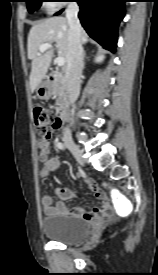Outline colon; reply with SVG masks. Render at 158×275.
Instances as JSON below:
<instances>
[{
    "instance_id": "obj_1",
    "label": "colon",
    "mask_w": 158,
    "mask_h": 275,
    "mask_svg": "<svg viewBox=\"0 0 158 275\" xmlns=\"http://www.w3.org/2000/svg\"><path fill=\"white\" fill-rule=\"evenodd\" d=\"M33 117L38 143L47 144L50 140L52 132L60 125L58 118L55 117L49 109L40 104L34 106ZM102 216L103 218H110L112 216V210L110 208L106 209Z\"/></svg>"
}]
</instances>
